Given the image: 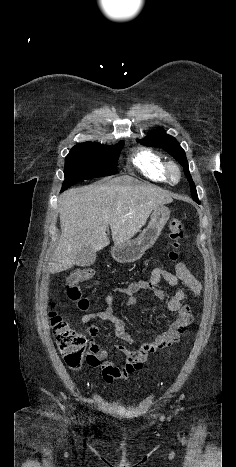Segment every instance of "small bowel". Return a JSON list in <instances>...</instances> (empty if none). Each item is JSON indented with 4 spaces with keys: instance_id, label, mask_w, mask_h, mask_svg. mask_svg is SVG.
Returning <instances> with one entry per match:
<instances>
[{
    "instance_id": "obj_1",
    "label": "small bowel",
    "mask_w": 236,
    "mask_h": 467,
    "mask_svg": "<svg viewBox=\"0 0 236 467\" xmlns=\"http://www.w3.org/2000/svg\"><path fill=\"white\" fill-rule=\"evenodd\" d=\"M162 280L175 288L167 303V308L177 317L167 331L151 341L144 342L137 350L116 344V349L126 357V361L121 367H116L108 359V352L95 341L99 334V328L96 325L89 327V353L86 361L90 366L101 369L102 377L107 383L114 380H127L143 368L151 353L176 343L186 333L193 321V315L190 307L183 304L186 293L181 285H184L195 296L201 294L202 285L183 261L176 264L174 273L157 267L153 269L149 279H139L126 286L113 287L104 298V307L100 312L94 313L88 308V312L80 318L82 324H88L94 319L110 321L114 325L115 335L125 343L133 345L136 343L135 337L127 330L125 322L114 314L115 298L118 295L126 296V305L129 307L136 303V295L145 290H150L158 299H164L165 291L161 285Z\"/></svg>"
}]
</instances>
